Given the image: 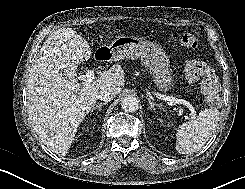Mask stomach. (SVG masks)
<instances>
[{
    "label": "stomach",
    "mask_w": 245,
    "mask_h": 189,
    "mask_svg": "<svg viewBox=\"0 0 245 189\" xmlns=\"http://www.w3.org/2000/svg\"><path fill=\"white\" fill-rule=\"evenodd\" d=\"M98 50L108 51L112 60L141 59L160 90L166 92L172 86L169 56L156 42L141 37L121 35L109 46H101Z\"/></svg>",
    "instance_id": "1"
}]
</instances>
